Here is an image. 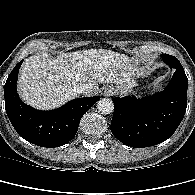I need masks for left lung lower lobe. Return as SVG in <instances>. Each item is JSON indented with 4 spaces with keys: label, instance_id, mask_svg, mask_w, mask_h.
Segmentation results:
<instances>
[{
    "label": "left lung lower lobe",
    "instance_id": "0a47b994",
    "mask_svg": "<svg viewBox=\"0 0 195 195\" xmlns=\"http://www.w3.org/2000/svg\"><path fill=\"white\" fill-rule=\"evenodd\" d=\"M176 70L165 89L142 99L114 98L112 134L135 148L157 145L170 138L187 107L188 79L183 67Z\"/></svg>",
    "mask_w": 195,
    "mask_h": 195
}]
</instances>
